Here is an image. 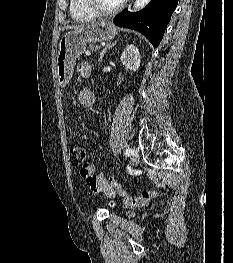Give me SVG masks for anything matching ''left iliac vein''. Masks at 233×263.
Here are the masks:
<instances>
[{"mask_svg":"<svg viewBox=\"0 0 233 263\" xmlns=\"http://www.w3.org/2000/svg\"><path fill=\"white\" fill-rule=\"evenodd\" d=\"M132 160H133V163H134V164H137V163H138L139 154H138V151H137L136 149H133V152H132Z\"/></svg>","mask_w":233,"mask_h":263,"instance_id":"obj_1","label":"left iliac vein"}]
</instances>
